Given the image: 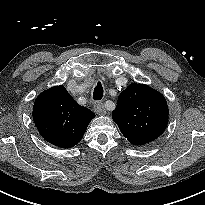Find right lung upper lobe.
Returning a JSON list of instances; mask_svg holds the SVG:
<instances>
[{"label":"right lung upper lobe","mask_w":205,"mask_h":205,"mask_svg":"<svg viewBox=\"0 0 205 205\" xmlns=\"http://www.w3.org/2000/svg\"><path fill=\"white\" fill-rule=\"evenodd\" d=\"M94 117L95 114L80 106L64 86L42 92L33 107V119L40 135L61 148L75 146Z\"/></svg>","instance_id":"obj_1"}]
</instances>
